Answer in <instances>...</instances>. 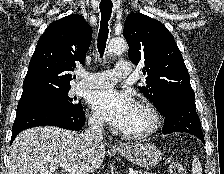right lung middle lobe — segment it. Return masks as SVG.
<instances>
[{
    "label": "right lung middle lobe",
    "mask_w": 224,
    "mask_h": 174,
    "mask_svg": "<svg viewBox=\"0 0 224 174\" xmlns=\"http://www.w3.org/2000/svg\"><path fill=\"white\" fill-rule=\"evenodd\" d=\"M70 87H45L27 94H22L19 104L41 102L62 111H72L82 108L81 103H76V98L69 97Z\"/></svg>",
    "instance_id": "dd1d6c3e"
}]
</instances>
